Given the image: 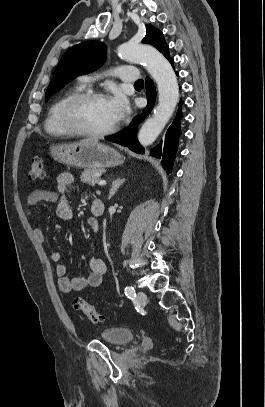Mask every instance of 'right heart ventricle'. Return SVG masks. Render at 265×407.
Returning a JSON list of instances; mask_svg holds the SVG:
<instances>
[{
    "mask_svg": "<svg viewBox=\"0 0 265 407\" xmlns=\"http://www.w3.org/2000/svg\"><path fill=\"white\" fill-rule=\"evenodd\" d=\"M84 89L82 84H77L66 92H64L56 101L51 105L48 115L46 117L44 128L45 131L55 137H69L72 136L63 126L61 121V111L66 101L73 95L82 92Z\"/></svg>",
    "mask_w": 265,
    "mask_h": 407,
    "instance_id": "right-heart-ventricle-1",
    "label": "right heart ventricle"
}]
</instances>
